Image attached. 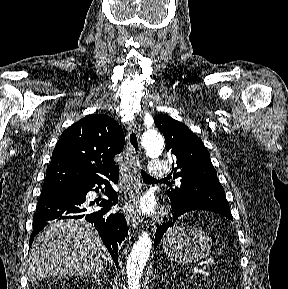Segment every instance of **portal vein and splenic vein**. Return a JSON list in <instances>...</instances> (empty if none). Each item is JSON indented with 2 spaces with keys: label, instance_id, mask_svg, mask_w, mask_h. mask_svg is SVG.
Listing matches in <instances>:
<instances>
[{
  "label": "portal vein and splenic vein",
  "instance_id": "obj_1",
  "mask_svg": "<svg viewBox=\"0 0 288 289\" xmlns=\"http://www.w3.org/2000/svg\"><path fill=\"white\" fill-rule=\"evenodd\" d=\"M209 262H205V265L202 267V272L205 273Z\"/></svg>",
  "mask_w": 288,
  "mask_h": 289
}]
</instances>
